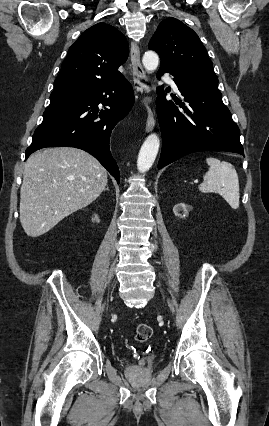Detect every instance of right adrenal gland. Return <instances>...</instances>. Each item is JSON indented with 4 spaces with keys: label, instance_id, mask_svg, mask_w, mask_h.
I'll list each match as a JSON object with an SVG mask.
<instances>
[{
    "label": "right adrenal gland",
    "instance_id": "right-adrenal-gland-1",
    "mask_svg": "<svg viewBox=\"0 0 269 426\" xmlns=\"http://www.w3.org/2000/svg\"><path fill=\"white\" fill-rule=\"evenodd\" d=\"M105 190H109V187L107 186V188Z\"/></svg>",
    "mask_w": 269,
    "mask_h": 426
}]
</instances>
